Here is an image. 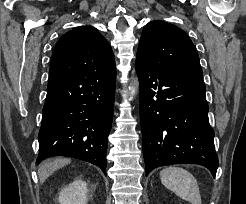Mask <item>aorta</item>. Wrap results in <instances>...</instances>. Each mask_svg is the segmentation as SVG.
<instances>
[{
  "label": "aorta",
  "mask_w": 246,
  "mask_h": 204,
  "mask_svg": "<svg viewBox=\"0 0 246 204\" xmlns=\"http://www.w3.org/2000/svg\"><path fill=\"white\" fill-rule=\"evenodd\" d=\"M131 94L133 95L135 93V88L134 87H129Z\"/></svg>",
  "instance_id": "1"
}]
</instances>
